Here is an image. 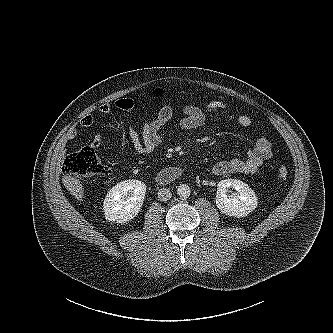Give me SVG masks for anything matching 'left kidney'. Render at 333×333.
Returning a JSON list of instances; mask_svg holds the SVG:
<instances>
[{
    "mask_svg": "<svg viewBox=\"0 0 333 333\" xmlns=\"http://www.w3.org/2000/svg\"><path fill=\"white\" fill-rule=\"evenodd\" d=\"M229 188L235 189L236 193L227 195ZM215 200L217 208L223 214L238 218L247 216L258 204L255 192L248 184L236 179L220 181L217 184Z\"/></svg>",
    "mask_w": 333,
    "mask_h": 333,
    "instance_id": "1",
    "label": "left kidney"
}]
</instances>
